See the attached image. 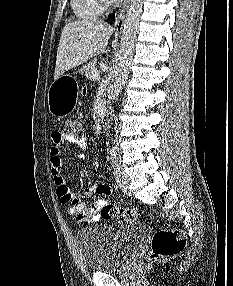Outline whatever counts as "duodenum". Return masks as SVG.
Segmentation results:
<instances>
[{
    "instance_id": "obj_1",
    "label": "duodenum",
    "mask_w": 233,
    "mask_h": 286,
    "mask_svg": "<svg viewBox=\"0 0 233 286\" xmlns=\"http://www.w3.org/2000/svg\"><path fill=\"white\" fill-rule=\"evenodd\" d=\"M100 123L105 126L108 122V110L106 107H102L99 113Z\"/></svg>"
}]
</instances>
